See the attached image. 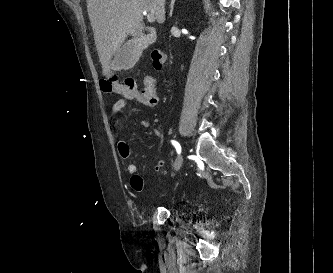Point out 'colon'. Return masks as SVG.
I'll return each instance as SVG.
<instances>
[{"label": "colon", "mask_w": 333, "mask_h": 273, "mask_svg": "<svg viewBox=\"0 0 333 273\" xmlns=\"http://www.w3.org/2000/svg\"><path fill=\"white\" fill-rule=\"evenodd\" d=\"M152 62L155 70L162 71L167 66V57L161 51H154L152 53ZM100 86L105 92L116 93L127 98L135 97L138 91L136 82L131 78L121 80L118 77H112L110 79L102 80ZM155 168L161 177L166 176V171L161 162H158Z\"/></svg>", "instance_id": "colon-1"}]
</instances>
